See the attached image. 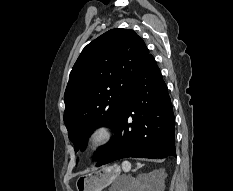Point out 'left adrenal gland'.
I'll use <instances>...</instances> for the list:
<instances>
[{"label":"left adrenal gland","instance_id":"a2214340","mask_svg":"<svg viewBox=\"0 0 233 191\" xmlns=\"http://www.w3.org/2000/svg\"><path fill=\"white\" fill-rule=\"evenodd\" d=\"M140 167H141V165H140V164H138V166H137L136 170H137L138 168H140Z\"/></svg>","mask_w":233,"mask_h":191}]
</instances>
